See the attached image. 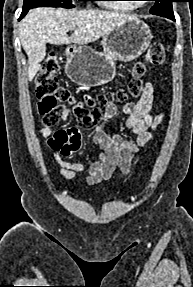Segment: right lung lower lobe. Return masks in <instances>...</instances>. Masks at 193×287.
I'll list each match as a JSON object with an SVG mask.
<instances>
[{
  "mask_svg": "<svg viewBox=\"0 0 193 287\" xmlns=\"http://www.w3.org/2000/svg\"><path fill=\"white\" fill-rule=\"evenodd\" d=\"M27 12H28L27 9H23L22 14H21L19 20L22 19V18L26 15Z\"/></svg>",
  "mask_w": 193,
  "mask_h": 287,
  "instance_id": "right-lung-lower-lobe-1",
  "label": "right lung lower lobe"
}]
</instances>
